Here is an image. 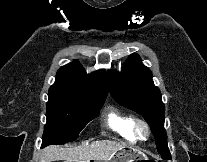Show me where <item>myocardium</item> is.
<instances>
[{
	"label": "myocardium",
	"mask_w": 207,
	"mask_h": 162,
	"mask_svg": "<svg viewBox=\"0 0 207 162\" xmlns=\"http://www.w3.org/2000/svg\"><path fill=\"white\" fill-rule=\"evenodd\" d=\"M134 139L145 141L148 139L150 130L148 124L142 119H135L132 126Z\"/></svg>",
	"instance_id": "f54148a6"
}]
</instances>
